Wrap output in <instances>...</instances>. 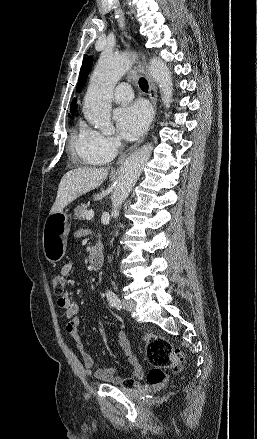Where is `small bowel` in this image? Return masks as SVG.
Masks as SVG:
<instances>
[{"instance_id": "small-bowel-1", "label": "small bowel", "mask_w": 257, "mask_h": 439, "mask_svg": "<svg viewBox=\"0 0 257 439\" xmlns=\"http://www.w3.org/2000/svg\"><path fill=\"white\" fill-rule=\"evenodd\" d=\"M79 232L77 235H81ZM72 272V265L69 263L64 264L60 269V275L62 277H67ZM58 306L65 311L66 318L68 320L66 326L67 334L74 340L78 353L80 354L85 371L87 374L93 375L96 379L110 383L112 385L123 384L125 381L122 377L116 374L115 369L112 365H103L98 369H95L94 361L91 358L85 343L80 338L78 334V327L80 325V307L77 303L73 302L70 297L65 294L59 297L57 300ZM116 344L120 348L126 359L127 363L131 369L133 376L140 380L143 378V370L137 359L132 355L128 339L124 332H119L116 336Z\"/></svg>"}]
</instances>
